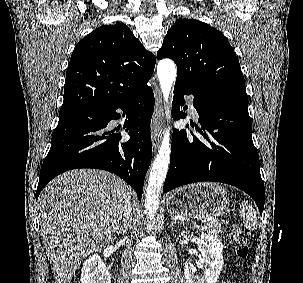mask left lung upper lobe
<instances>
[{
	"label": "left lung upper lobe",
	"mask_w": 303,
	"mask_h": 283,
	"mask_svg": "<svg viewBox=\"0 0 303 283\" xmlns=\"http://www.w3.org/2000/svg\"><path fill=\"white\" fill-rule=\"evenodd\" d=\"M157 58H171L177 65L176 82L188 88L248 101L243 73L232 46L220 31L206 23L176 20Z\"/></svg>",
	"instance_id": "1"
}]
</instances>
